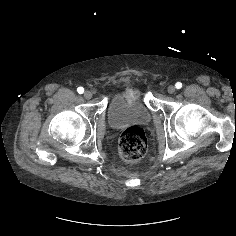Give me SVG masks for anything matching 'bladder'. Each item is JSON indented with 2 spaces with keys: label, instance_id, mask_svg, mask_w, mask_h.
<instances>
[{
  "label": "bladder",
  "instance_id": "1",
  "mask_svg": "<svg viewBox=\"0 0 236 236\" xmlns=\"http://www.w3.org/2000/svg\"><path fill=\"white\" fill-rule=\"evenodd\" d=\"M150 115L145 99L136 92H119L110 100L106 110L112 128H120L129 122H147Z\"/></svg>",
  "mask_w": 236,
  "mask_h": 236
}]
</instances>
